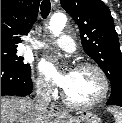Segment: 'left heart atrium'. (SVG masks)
Here are the masks:
<instances>
[{"label":"left heart atrium","mask_w":122,"mask_h":123,"mask_svg":"<svg viewBox=\"0 0 122 123\" xmlns=\"http://www.w3.org/2000/svg\"><path fill=\"white\" fill-rule=\"evenodd\" d=\"M39 68L44 77L58 87L65 89L69 84L71 72H62L59 70L53 59H42L39 63Z\"/></svg>","instance_id":"obj_1"}]
</instances>
